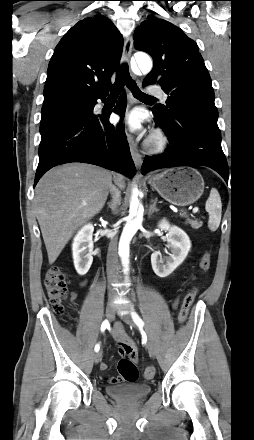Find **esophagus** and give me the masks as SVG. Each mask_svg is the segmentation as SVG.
Returning <instances> with one entry per match:
<instances>
[{
	"label": "esophagus",
	"mask_w": 254,
	"mask_h": 440,
	"mask_svg": "<svg viewBox=\"0 0 254 440\" xmlns=\"http://www.w3.org/2000/svg\"><path fill=\"white\" fill-rule=\"evenodd\" d=\"M132 47H133V39L131 36H129L124 41L123 54H122L123 62L125 63L129 62L132 53ZM127 139H128L132 159L136 167L139 168L142 164V156L138 151L134 137L130 133H127Z\"/></svg>",
	"instance_id": "esophagus-1"
}]
</instances>
